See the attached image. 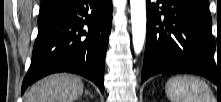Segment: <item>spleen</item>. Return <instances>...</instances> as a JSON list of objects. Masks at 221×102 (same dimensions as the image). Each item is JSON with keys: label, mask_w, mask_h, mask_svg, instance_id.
I'll return each mask as SVG.
<instances>
[{"label": "spleen", "mask_w": 221, "mask_h": 102, "mask_svg": "<svg viewBox=\"0 0 221 102\" xmlns=\"http://www.w3.org/2000/svg\"><path fill=\"white\" fill-rule=\"evenodd\" d=\"M165 92L171 102H212L213 94L203 80L190 75H177L166 83Z\"/></svg>", "instance_id": "obj_1"}]
</instances>
